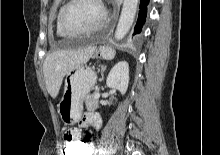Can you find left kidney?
Instances as JSON below:
<instances>
[{
	"mask_svg": "<svg viewBox=\"0 0 220 155\" xmlns=\"http://www.w3.org/2000/svg\"><path fill=\"white\" fill-rule=\"evenodd\" d=\"M129 84V65L126 61H120L108 74L106 85L109 88L118 89L122 95L127 91Z\"/></svg>",
	"mask_w": 220,
	"mask_h": 155,
	"instance_id": "left-kidney-1",
	"label": "left kidney"
}]
</instances>
